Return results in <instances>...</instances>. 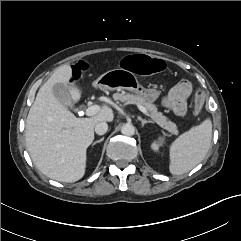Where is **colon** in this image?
Wrapping results in <instances>:
<instances>
[{"instance_id": "1", "label": "colon", "mask_w": 241, "mask_h": 241, "mask_svg": "<svg viewBox=\"0 0 241 241\" xmlns=\"http://www.w3.org/2000/svg\"><path fill=\"white\" fill-rule=\"evenodd\" d=\"M120 66L125 71H137L139 74H160L165 69V62L160 57L143 54H125L120 59ZM67 67L73 74L72 84H75L82 77L90 72V65L83 59H76ZM204 106V96L201 91L194 93V110L196 113L202 111Z\"/></svg>"}]
</instances>
